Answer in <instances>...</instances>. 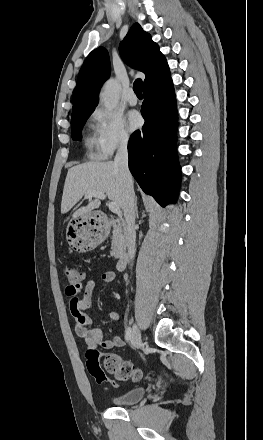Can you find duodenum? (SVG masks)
I'll use <instances>...</instances> for the list:
<instances>
[{
    "label": "duodenum",
    "instance_id": "duodenum-1",
    "mask_svg": "<svg viewBox=\"0 0 263 440\" xmlns=\"http://www.w3.org/2000/svg\"><path fill=\"white\" fill-rule=\"evenodd\" d=\"M102 220V218H99ZM111 222V221H110ZM128 262V253L125 248H121L120 254L116 261L117 270H123Z\"/></svg>",
    "mask_w": 263,
    "mask_h": 440
}]
</instances>
